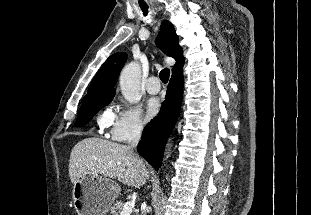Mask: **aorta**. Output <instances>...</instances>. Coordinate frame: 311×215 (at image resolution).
<instances>
[{"label":"aorta","instance_id":"aorta-1","mask_svg":"<svg viewBox=\"0 0 311 215\" xmlns=\"http://www.w3.org/2000/svg\"><path fill=\"white\" fill-rule=\"evenodd\" d=\"M140 78L141 70L137 62L127 64L120 74L119 84L121 93L125 100L131 104L138 103L141 99Z\"/></svg>","mask_w":311,"mask_h":215}]
</instances>
